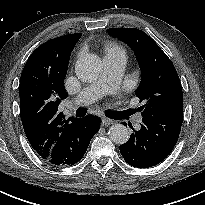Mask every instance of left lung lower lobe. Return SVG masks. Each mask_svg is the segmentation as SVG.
I'll return each mask as SVG.
<instances>
[{
    "mask_svg": "<svg viewBox=\"0 0 205 205\" xmlns=\"http://www.w3.org/2000/svg\"><path fill=\"white\" fill-rule=\"evenodd\" d=\"M183 113L143 118L140 130L133 129L129 140L120 146L124 160L137 168H148L162 162L177 143Z\"/></svg>",
    "mask_w": 205,
    "mask_h": 205,
    "instance_id": "1",
    "label": "left lung lower lobe"
}]
</instances>
